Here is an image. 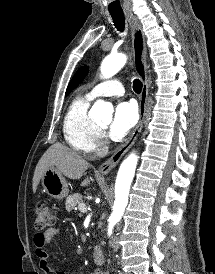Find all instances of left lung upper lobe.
<instances>
[{
	"label": "left lung upper lobe",
	"instance_id": "left-lung-upper-lobe-1",
	"mask_svg": "<svg viewBox=\"0 0 215 274\" xmlns=\"http://www.w3.org/2000/svg\"><path fill=\"white\" fill-rule=\"evenodd\" d=\"M88 73V67L84 66L78 69L76 74L74 75L73 79L70 81L65 96H67L74 88H76L81 81L83 80L84 76Z\"/></svg>",
	"mask_w": 215,
	"mask_h": 274
}]
</instances>
